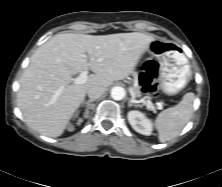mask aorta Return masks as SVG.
Segmentation results:
<instances>
[{"label":"aorta","mask_w":222,"mask_h":187,"mask_svg":"<svg viewBox=\"0 0 222 187\" xmlns=\"http://www.w3.org/2000/svg\"><path fill=\"white\" fill-rule=\"evenodd\" d=\"M125 89L123 87H120V86H115L111 89V97L114 99V100H122L124 97H125Z\"/></svg>","instance_id":"aorta-1"}]
</instances>
